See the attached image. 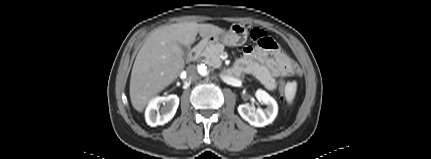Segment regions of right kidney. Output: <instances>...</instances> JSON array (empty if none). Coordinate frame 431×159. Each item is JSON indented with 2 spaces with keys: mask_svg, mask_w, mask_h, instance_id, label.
Instances as JSON below:
<instances>
[{
  "mask_svg": "<svg viewBox=\"0 0 431 159\" xmlns=\"http://www.w3.org/2000/svg\"><path fill=\"white\" fill-rule=\"evenodd\" d=\"M177 95H168L152 99L146 109L145 118L148 125L156 127L170 121L178 108Z\"/></svg>",
  "mask_w": 431,
  "mask_h": 159,
  "instance_id": "1",
  "label": "right kidney"
}]
</instances>
